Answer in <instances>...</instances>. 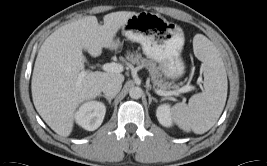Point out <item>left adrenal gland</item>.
Returning <instances> with one entry per match:
<instances>
[{"mask_svg": "<svg viewBox=\"0 0 267 166\" xmlns=\"http://www.w3.org/2000/svg\"><path fill=\"white\" fill-rule=\"evenodd\" d=\"M147 95H148V100H149V104H151L152 101H157L156 98L152 97L151 94L147 91Z\"/></svg>", "mask_w": 267, "mask_h": 166, "instance_id": "left-adrenal-gland-1", "label": "left adrenal gland"}]
</instances>
